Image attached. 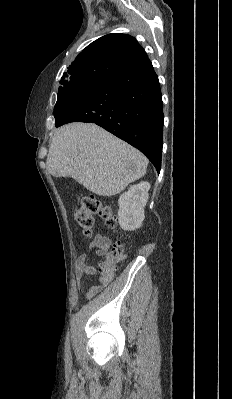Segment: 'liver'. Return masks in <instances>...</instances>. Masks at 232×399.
Here are the masks:
<instances>
[{
  "label": "liver",
  "mask_w": 232,
  "mask_h": 399,
  "mask_svg": "<svg viewBox=\"0 0 232 399\" xmlns=\"http://www.w3.org/2000/svg\"><path fill=\"white\" fill-rule=\"evenodd\" d=\"M148 160L126 142L95 124H67L53 134L49 174L71 176L97 196H115L143 178Z\"/></svg>",
  "instance_id": "1"
}]
</instances>
